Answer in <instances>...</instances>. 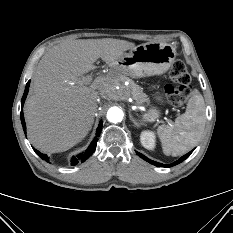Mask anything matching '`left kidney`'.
<instances>
[{"label": "left kidney", "mask_w": 233, "mask_h": 233, "mask_svg": "<svg viewBox=\"0 0 233 233\" xmlns=\"http://www.w3.org/2000/svg\"><path fill=\"white\" fill-rule=\"evenodd\" d=\"M142 145L149 150L155 147V134L151 131H143L140 135Z\"/></svg>", "instance_id": "1"}]
</instances>
